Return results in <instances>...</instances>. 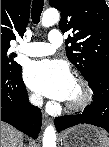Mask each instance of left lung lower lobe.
Masks as SVG:
<instances>
[{"mask_svg":"<svg viewBox=\"0 0 109 147\" xmlns=\"http://www.w3.org/2000/svg\"><path fill=\"white\" fill-rule=\"evenodd\" d=\"M93 91V101L83 114L65 115L55 119L57 131L86 123L102 127L109 132V69H97L88 80Z\"/></svg>","mask_w":109,"mask_h":147,"instance_id":"0a47b994","label":"left lung lower lobe"}]
</instances>
